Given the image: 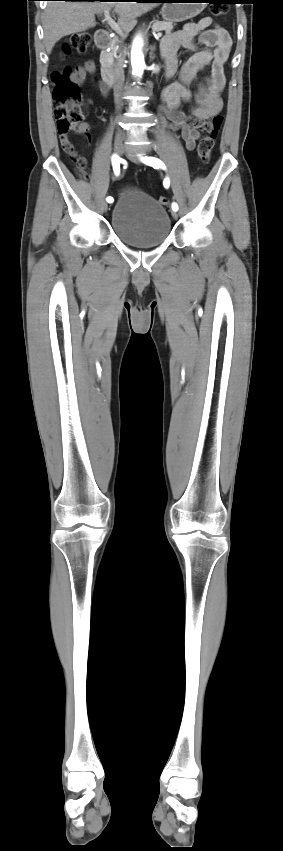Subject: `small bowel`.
<instances>
[{"label": "small bowel", "mask_w": 283, "mask_h": 851, "mask_svg": "<svg viewBox=\"0 0 283 851\" xmlns=\"http://www.w3.org/2000/svg\"><path fill=\"white\" fill-rule=\"evenodd\" d=\"M198 44L203 48L198 50ZM231 45L228 32L215 25L210 17L186 24L183 29L165 35L161 42L167 78L174 76L177 71L179 48L196 51L182 66L179 80L170 83L162 91L161 112L164 124L169 129L180 132L189 151L194 150L205 121L222 109L220 93L225 85L224 66L229 58ZM208 65L211 66L210 75L196 91H192L190 85ZM95 72V62L87 61L83 66L75 68L71 79L79 85L87 74L93 75ZM97 87L100 89V97L107 99L109 85L98 79ZM192 99L195 105L185 111L183 105ZM60 142L64 151L74 161H81L86 167V158L75 151L68 136H60Z\"/></svg>", "instance_id": "small-bowel-1"}]
</instances>
